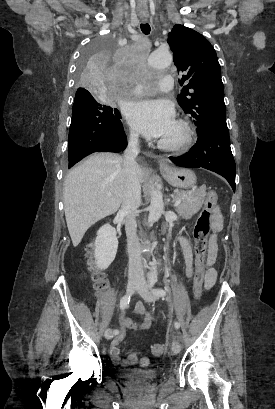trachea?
<instances>
[{
  "label": "trachea",
  "mask_w": 275,
  "mask_h": 409,
  "mask_svg": "<svg viewBox=\"0 0 275 409\" xmlns=\"http://www.w3.org/2000/svg\"><path fill=\"white\" fill-rule=\"evenodd\" d=\"M141 31L145 34L148 35L151 31V27L148 23H141L140 25Z\"/></svg>",
  "instance_id": "obj_1"
}]
</instances>
